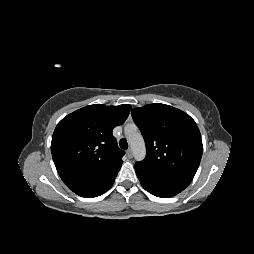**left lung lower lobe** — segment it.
Here are the masks:
<instances>
[{
    "instance_id": "left-lung-lower-lobe-1",
    "label": "left lung lower lobe",
    "mask_w": 254,
    "mask_h": 254,
    "mask_svg": "<svg viewBox=\"0 0 254 254\" xmlns=\"http://www.w3.org/2000/svg\"><path fill=\"white\" fill-rule=\"evenodd\" d=\"M136 174L143 188L154 196L161 198L172 197L183 191L191 181L158 174L136 163Z\"/></svg>"
}]
</instances>
